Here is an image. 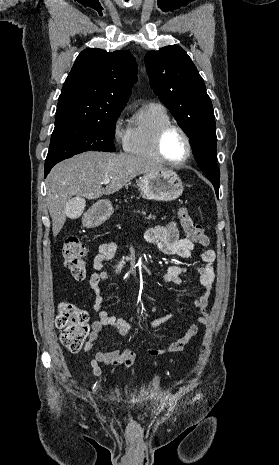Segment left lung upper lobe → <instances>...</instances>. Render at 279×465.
Masks as SVG:
<instances>
[{"label": "left lung upper lobe", "instance_id": "5c2ea615", "mask_svg": "<svg viewBox=\"0 0 279 465\" xmlns=\"http://www.w3.org/2000/svg\"><path fill=\"white\" fill-rule=\"evenodd\" d=\"M150 85L190 139L200 169L219 191L214 110L202 77L178 45L145 56Z\"/></svg>", "mask_w": 279, "mask_h": 465}]
</instances>
